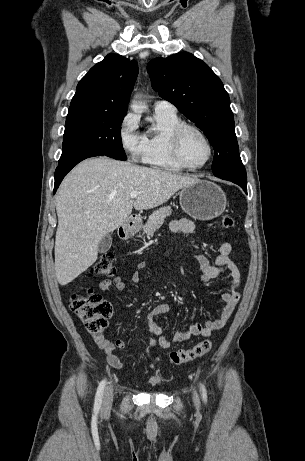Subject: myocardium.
Wrapping results in <instances>:
<instances>
[{"label":"myocardium","mask_w":305,"mask_h":461,"mask_svg":"<svg viewBox=\"0 0 305 461\" xmlns=\"http://www.w3.org/2000/svg\"><path fill=\"white\" fill-rule=\"evenodd\" d=\"M187 131H192V132H195L196 134H198L202 138V140L204 141V143L207 146V149H208L207 157H206L205 161L203 163H201L200 165H197V166L189 165L184 160V158H183V156L181 154V141H182V138H183L184 134ZM169 146H170V151H171V154H172V157L174 158V160L182 168H185V169L191 170V171L199 170V169H202L203 167H205L209 163V161L211 160L212 155H213V147H212V144H211L210 140L206 136V134L200 128H198L197 126L187 124V123H182V124L178 125L173 130V132L171 133V136H170Z\"/></svg>","instance_id":"obj_1"}]
</instances>
